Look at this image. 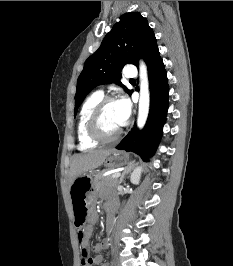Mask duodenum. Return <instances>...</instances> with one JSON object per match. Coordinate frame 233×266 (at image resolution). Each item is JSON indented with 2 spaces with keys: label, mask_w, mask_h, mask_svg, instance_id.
I'll list each match as a JSON object with an SVG mask.
<instances>
[{
  "label": "duodenum",
  "mask_w": 233,
  "mask_h": 266,
  "mask_svg": "<svg viewBox=\"0 0 233 266\" xmlns=\"http://www.w3.org/2000/svg\"><path fill=\"white\" fill-rule=\"evenodd\" d=\"M106 212H107L108 222H112L114 218V213H115V206L109 205L106 209Z\"/></svg>",
  "instance_id": "410a0bca"
}]
</instances>
